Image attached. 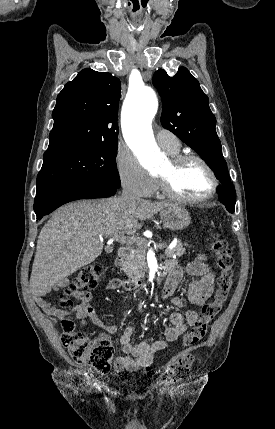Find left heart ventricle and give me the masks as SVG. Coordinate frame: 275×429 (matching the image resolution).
<instances>
[{
  "mask_svg": "<svg viewBox=\"0 0 275 429\" xmlns=\"http://www.w3.org/2000/svg\"><path fill=\"white\" fill-rule=\"evenodd\" d=\"M157 174L168 177L174 190L189 198L204 197L209 193L212 186L207 171L196 161L184 164L176 172L172 170L170 161H168L158 170Z\"/></svg>",
  "mask_w": 275,
  "mask_h": 429,
  "instance_id": "obj_1",
  "label": "left heart ventricle"
}]
</instances>
